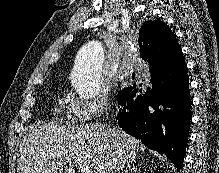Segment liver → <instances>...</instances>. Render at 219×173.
Masks as SVG:
<instances>
[{
	"instance_id": "liver-1",
	"label": "liver",
	"mask_w": 219,
	"mask_h": 173,
	"mask_svg": "<svg viewBox=\"0 0 219 173\" xmlns=\"http://www.w3.org/2000/svg\"><path fill=\"white\" fill-rule=\"evenodd\" d=\"M145 146L116 127L101 124L31 126L20 143L18 173H118L135 161Z\"/></svg>"
}]
</instances>
